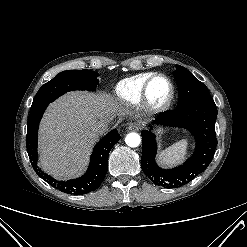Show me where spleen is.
Returning a JSON list of instances; mask_svg holds the SVG:
<instances>
[{"mask_svg": "<svg viewBox=\"0 0 247 247\" xmlns=\"http://www.w3.org/2000/svg\"><path fill=\"white\" fill-rule=\"evenodd\" d=\"M187 148V139H182L160 152L158 155V162L164 166L180 164L187 155Z\"/></svg>", "mask_w": 247, "mask_h": 247, "instance_id": "spleen-1", "label": "spleen"}]
</instances>
